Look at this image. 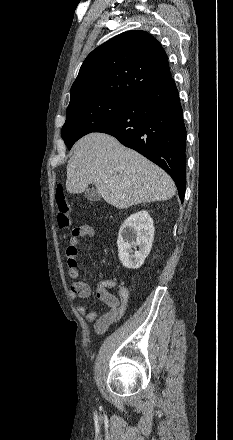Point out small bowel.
Listing matches in <instances>:
<instances>
[{
    "label": "small bowel",
    "instance_id": "obj_1",
    "mask_svg": "<svg viewBox=\"0 0 233 440\" xmlns=\"http://www.w3.org/2000/svg\"><path fill=\"white\" fill-rule=\"evenodd\" d=\"M94 235L95 229L89 225H83L73 229L66 249L69 264L68 272L71 278L77 279L80 277L76 262L79 239L83 237H93ZM110 288H116L118 290V297L109 292L108 289ZM90 295L91 288L84 281L77 280L72 284L71 297L73 299L84 300L89 298ZM96 296L109 308L108 311L99 316L96 310L88 311L87 307L83 304L78 306L77 311L85 321H95L94 329L96 333L101 334L123 317L126 312L130 293L127 287L118 283L116 280L105 279L97 284Z\"/></svg>",
    "mask_w": 233,
    "mask_h": 440
}]
</instances>
